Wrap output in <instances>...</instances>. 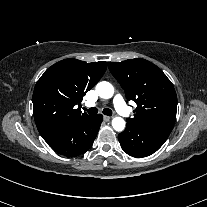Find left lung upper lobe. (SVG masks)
<instances>
[{
  "label": "left lung upper lobe",
  "instance_id": "obj_1",
  "mask_svg": "<svg viewBox=\"0 0 207 207\" xmlns=\"http://www.w3.org/2000/svg\"><path fill=\"white\" fill-rule=\"evenodd\" d=\"M108 67L128 100L137 104L134 117L127 123L169 136L176 119L177 96L162 70L140 58L109 62Z\"/></svg>",
  "mask_w": 207,
  "mask_h": 207
}]
</instances>
